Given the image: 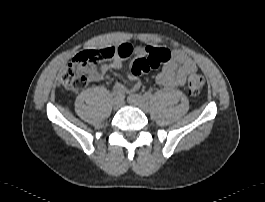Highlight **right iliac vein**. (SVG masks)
Masks as SVG:
<instances>
[{"instance_id": "63e3f726", "label": "right iliac vein", "mask_w": 265, "mask_h": 202, "mask_svg": "<svg viewBox=\"0 0 265 202\" xmlns=\"http://www.w3.org/2000/svg\"><path fill=\"white\" fill-rule=\"evenodd\" d=\"M123 102L121 98H114L112 106L114 110H118L122 106Z\"/></svg>"}]
</instances>
